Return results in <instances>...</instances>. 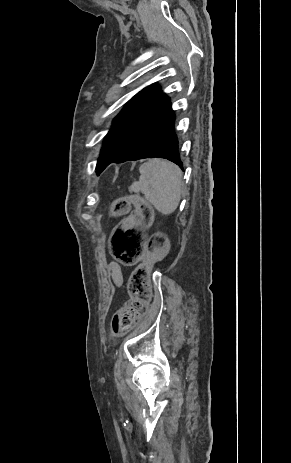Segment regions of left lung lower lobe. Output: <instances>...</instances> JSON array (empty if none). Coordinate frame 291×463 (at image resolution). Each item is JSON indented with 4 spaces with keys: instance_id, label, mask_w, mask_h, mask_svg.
<instances>
[{
    "instance_id": "0a47b994",
    "label": "left lung lower lobe",
    "mask_w": 291,
    "mask_h": 463,
    "mask_svg": "<svg viewBox=\"0 0 291 463\" xmlns=\"http://www.w3.org/2000/svg\"><path fill=\"white\" fill-rule=\"evenodd\" d=\"M174 113L171 112L159 125L152 129L143 141L130 152L120 158H110L97 164V174L110 163H123L129 160L145 158H165L183 169L179 153V142L174 131Z\"/></svg>"
}]
</instances>
